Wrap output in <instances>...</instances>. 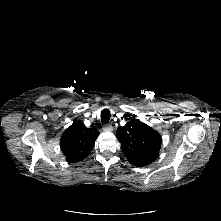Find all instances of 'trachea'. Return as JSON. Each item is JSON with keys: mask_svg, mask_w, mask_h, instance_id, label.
I'll list each match as a JSON object with an SVG mask.
<instances>
[{"mask_svg": "<svg viewBox=\"0 0 221 221\" xmlns=\"http://www.w3.org/2000/svg\"><path fill=\"white\" fill-rule=\"evenodd\" d=\"M109 120H110V111L107 108H105L101 112V121L103 123H108Z\"/></svg>", "mask_w": 221, "mask_h": 221, "instance_id": "1", "label": "trachea"}]
</instances>
